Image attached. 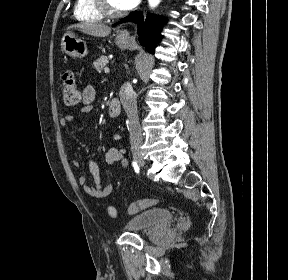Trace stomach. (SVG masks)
<instances>
[{
    "label": "stomach",
    "mask_w": 288,
    "mask_h": 280,
    "mask_svg": "<svg viewBox=\"0 0 288 280\" xmlns=\"http://www.w3.org/2000/svg\"><path fill=\"white\" fill-rule=\"evenodd\" d=\"M116 44L121 49H126L130 46V41L118 35L116 37ZM61 46L63 51L73 59L83 58L88 53L86 42L72 32H66L64 34L61 40Z\"/></svg>",
    "instance_id": "stomach-1"
}]
</instances>
